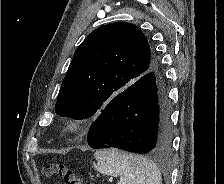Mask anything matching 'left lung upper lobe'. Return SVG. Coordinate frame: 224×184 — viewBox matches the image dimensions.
Listing matches in <instances>:
<instances>
[{
  "mask_svg": "<svg viewBox=\"0 0 224 184\" xmlns=\"http://www.w3.org/2000/svg\"><path fill=\"white\" fill-rule=\"evenodd\" d=\"M157 67L156 55L137 26L116 22L99 27L76 49L55 112L73 119L88 118Z\"/></svg>",
  "mask_w": 224,
  "mask_h": 184,
  "instance_id": "1",
  "label": "left lung upper lobe"
}]
</instances>
